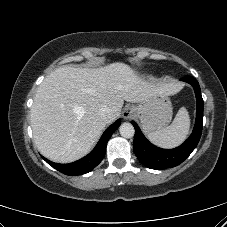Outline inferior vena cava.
<instances>
[{
  "instance_id": "1",
  "label": "inferior vena cava",
  "mask_w": 227,
  "mask_h": 227,
  "mask_svg": "<svg viewBox=\"0 0 227 227\" xmlns=\"http://www.w3.org/2000/svg\"><path fill=\"white\" fill-rule=\"evenodd\" d=\"M99 113L104 121H108L111 118V110L107 106H103L100 108Z\"/></svg>"
}]
</instances>
